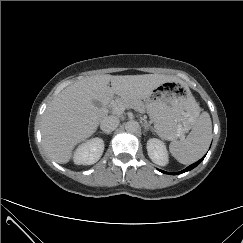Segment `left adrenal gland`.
<instances>
[{"label":"left adrenal gland","mask_w":243,"mask_h":243,"mask_svg":"<svg viewBox=\"0 0 243 243\" xmlns=\"http://www.w3.org/2000/svg\"><path fill=\"white\" fill-rule=\"evenodd\" d=\"M143 126H144V129H145L144 132H147V131H149V130L152 131V127H151L149 124L145 123Z\"/></svg>","instance_id":"left-adrenal-gland-1"}]
</instances>
